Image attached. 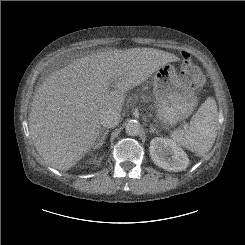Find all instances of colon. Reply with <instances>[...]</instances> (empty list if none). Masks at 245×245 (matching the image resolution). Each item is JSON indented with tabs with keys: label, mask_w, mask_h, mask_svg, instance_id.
I'll list each match as a JSON object with an SVG mask.
<instances>
[{
	"label": "colon",
	"mask_w": 245,
	"mask_h": 245,
	"mask_svg": "<svg viewBox=\"0 0 245 245\" xmlns=\"http://www.w3.org/2000/svg\"><path fill=\"white\" fill-rule=\"evenodd\" d=\"M180 74L190 90L194 93H199L206 83L205 76L193 61L191 54L185 51L182 52Z\"/></svg>",
	"instance_id": "colon-1"
}]
</instances>
